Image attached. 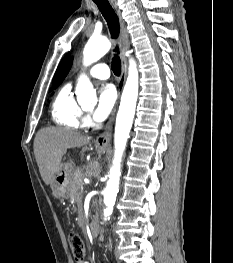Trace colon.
Here are the masks:
<instances>
[{"mask_svg": "<svg viewBox=\"0 0 233 263\" xmlns=\"http://www.w3.org/2000/svg\"><path fill=\"white\" fill-rule=\"evenodd\" d=\"M70 246L72 248L73 257L77 263L84 260L86 250L82 237L78 233L71 232L68 236Z\"/></svg>", "mask_w": 233, "mask_h": 263, "instance_id": "obj_1", "label": "colon"}]
</instances>
